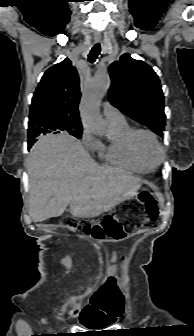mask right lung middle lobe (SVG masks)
<instances>
[{"mask_svg": "<svg viewBox=\"0 0 194 336\" xmlns=\"http://www.w3.org/2000/svg\"><path fill=\"white\" fill-rule=\"evenodd\" d=\"M69 134L77 137V138H80L81 135H82V130L81 129H78V130H69L68 131ZM28 135H29V130H28Z\"/></svg>", "mask_w": 194, "mask_h": 336, "instance_id": "right-lung-middle-lobe-1", "label": "right lung middle lobe"}]
</instances>
